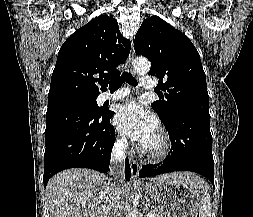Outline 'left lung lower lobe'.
<instances>
[{"label":"left lung lower lobe","mask_w":253,"mask_h":217,"mask_svg":"<svg viewBox=\"0 0 253 217\" xmlns=\"http://www.w3.org/2000/svg\"><path fill=\"white\" fill-rule=\"evenodd\" d=\"M164 125L169 133L172 149L163 163L142 166L139 177L192 171L205 176L214 187L210 117L183 113L174 116Z\"/></svg>","instance_id":"1"}]
</instances>
